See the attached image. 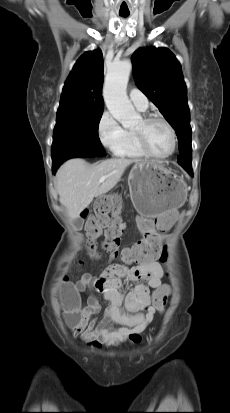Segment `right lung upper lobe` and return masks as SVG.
<instances>
[{
	"label": "right lung upper lobe",
	"mask_w": 230,
	"mask_h": 413,
	"mask_svg": "<svg viewBox=\"0 0 230 413\" xmlns=\"http://www.w3.org/2000/svg\"><path fill=\"white\" fill-rule=\"evenodd\" d=\"M103 56L85 52L75 63L61 94L57 117H86L103 113Z\"/></svg>",
	"instance_id": "obj_1"
}]
</instances>
